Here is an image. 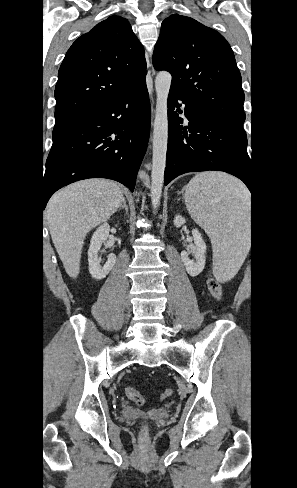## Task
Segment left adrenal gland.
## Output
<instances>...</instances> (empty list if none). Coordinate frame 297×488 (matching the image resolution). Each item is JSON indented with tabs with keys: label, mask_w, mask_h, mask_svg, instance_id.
<instances>
[{
	"label": "left adrenal gland",
	"mask_w": 297,
	"mask_h": 488,
	"mask_svg": "<svg viewBox=\"0 0 297 488\" xmlns=\"http://www.w3.org/2000/svg\"><path fill=\"white\" fill-rule=\"evenodd\" d=\"M178 194H183L184 195V189L178 192Z\"/></svg>",
	"instance_id": "a2214340"
}]
</instances>
